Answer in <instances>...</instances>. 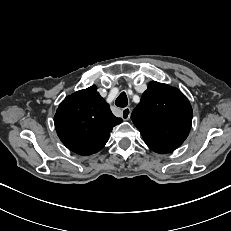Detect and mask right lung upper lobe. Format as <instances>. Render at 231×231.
<instances>
[{"instance_id": "obj_1", "label": "right lung upper lobe", "mask_w": 231, "mask_h": 231, "mask_svg": "<svg viewBox=\"0 0 231 231\" xmlns=\"http://www.w3.org/2000/svg\"><path fill=\"white\" fill-rule=\"evenodd\" d=\"M121 122V118L112 114L96 86L67 96L54 117L60 140L69 150L79 155L100 151L108 141L113 127Z\"/></svg>"}]
</instances>
